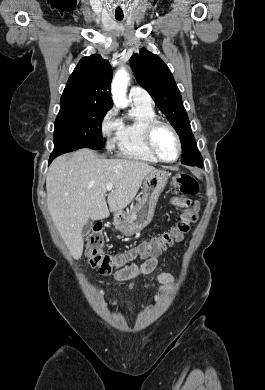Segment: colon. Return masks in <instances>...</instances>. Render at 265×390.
Instances as JSON below:
<instances>
[{"instance_id":"5ec220e1","label":"colon","mask_w":265,"mask_h":390,"mask_svg":"<svg viewBox=\"0 0 265 390\" xmlns=\"http://www.w3.org/2000/svg\"><path fill=\"white\" fill-rule=\"evenodd\" d=\"M174 186L185 196H195L199 192L197 180L186 173H179L173 180ZM197 206L189 204L180 215L176 224L167 232L150 239L141 245L140 251L134 257H151L162 252L174 241H180L190 231L191 225L196 221ZM104 237L101 226L96 224L89 234L86 243V255L90 265L97 268L102 275H109L116 268H124L127 261L133 257L127 255H110L103 251ZM119 269V270H120Z\"/></svg>"}]
</instances>
